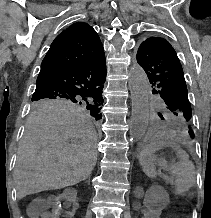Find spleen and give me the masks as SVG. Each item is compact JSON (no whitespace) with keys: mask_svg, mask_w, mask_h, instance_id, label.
<instances>
[{"mask_svg":"<svg viewBox=\"0 0 211 218\" xmlns=\"http://www.w3.org/2000/svg\"><path fill=\"white\" fill-rule=\"evenodd\" d=\"M179 162L176 164H168L163 158H156L153 150L141 152L139 162L143 168L144 174L149 178H156L157 172L155 166H161L166 172H170L175 176L174 188L176 194H183L192 188L195 182V170L192 162L189 160L188 154L180 150Z\"/></svg>","mask_w":211,"mask_h":218,"instance_id":"3e777b00","label":"spleen"}]
</instances>
